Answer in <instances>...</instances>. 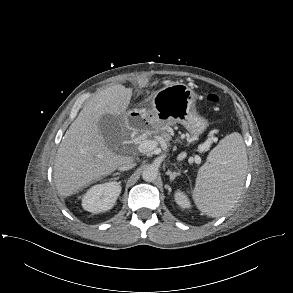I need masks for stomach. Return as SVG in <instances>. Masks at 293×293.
Here are the masks:
<instances>
[{
  "mask_svg": "<svg viewBox=\"0 0 293 293\" xmlns=\"http://www.w3.org/2000/svg\"><path fill=\"white\" fill-rule=\"evenodd\" d=\"M197 95L184 83H171L158 90L152 98V108L136 110L154 130L181 123L189 131L190 141H195L208 126L206 119L196 112Z\"/></svg>",
  "mask_w": 293,
  "mask_h": 293,
  "instance_id": "stomach-1",
  "label": "stomach"
}]
</instances>
